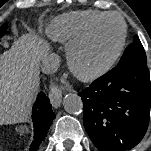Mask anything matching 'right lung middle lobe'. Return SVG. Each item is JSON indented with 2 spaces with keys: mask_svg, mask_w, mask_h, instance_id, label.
<instances>
[{
  "mask_svg": "<svg viewBox=\"0 0 151 151\" xmlns=\"http://www.w3.org/2000/svg\"><path fill=\"white\" fill-rule=\"evenodd\" d=\"M6 29L7 26L5 24L0 27V37H2L6 33Z\"/></svg>",
  "mask_w": 151,
  "mask_h": 151,
  "instance_id": "obj_1",
  "label": "right lung middle lobe"
}]
</instances>
